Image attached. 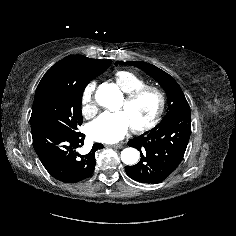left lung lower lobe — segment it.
<instances>
[{"mask_svg":"<svg viewBox=\"0 0 236 236\" xmlns=\"http://www.w3.org/2000/svg\"><path fill=\"white\" fill-rule=\"evenodd\" d=\"M191 134V115L178 114L128 142L140 151V162L126 166L135 181L156 184L164 181L182 161Z\"/></svg>","mask_w":236,"mask_h":236,"instance_id":"0a47b994","label":"left lung lower lobe"}]
</instances>
